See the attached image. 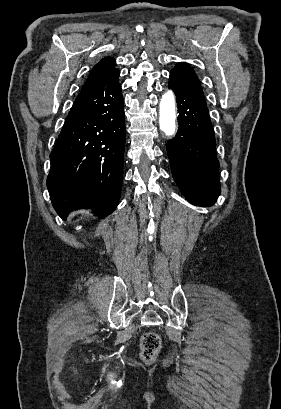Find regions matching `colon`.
Instances as JSON below:
<instances>
[{
  "instance_id": "colon-1",
  "label": "colon",
  "mask_w": 281,
  "mask_h": 409,
  "mask_svg": "<svg viewBox=\"0 0 281 409\" xmlns=\"http://www.w3.org/2000/svg\"><path fill=\"white\" fill-rule=\"evenodd\" d=\"M161 347L159 336L152 331L146 332L142 338L141 357L150 361L156 358Z\"/></svg>"
}]
</instances>
